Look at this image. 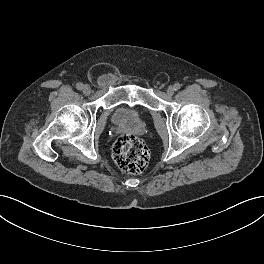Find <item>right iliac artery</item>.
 <instances>
[{
  "label": "right iliac artery",
  "mask_w": 264,
  "mask_h": 264,
  "mask_svg": "<svg viewBox=\"0 0 264 264\" xmlns=\"http://www.w3.org/2000/svg\"><path fill=\"white\" fill-rule=\"evenodd\" d=\"M76 88H77L78 90L83 89V84H82V83H77V84H76Z\"/></svg>",
  "instance_id": "82829eb1"
}]
</instances>
